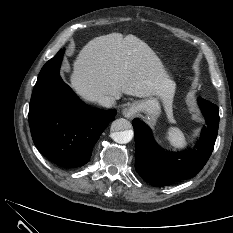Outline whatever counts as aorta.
I'll list each match as a JSON object with an SVG mask.
<instances>
[{
	"mask_svg": "<svg viewBox=\"0 0 233 233\" xmlns=\"http://www.w3.org/2000/svg\"><path fill=\"white\" fill-rule=\"evenodd\" d=\"M111 131L112 139L119 144H126L133 138L131 124L123 118L116 119L112 122Z\"/></svg>",
	"mask_w": 233,
	"mask_h": 233,
	"instance_id": "obj_1",
	"label": "aorta"
}]
</instances>
